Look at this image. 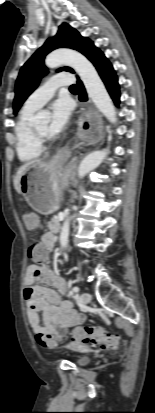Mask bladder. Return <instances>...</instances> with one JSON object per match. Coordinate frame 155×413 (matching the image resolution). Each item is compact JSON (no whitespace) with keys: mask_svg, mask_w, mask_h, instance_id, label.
<instances>
[{"mask_svg":"<svg viewBox=\"0 0 155 413\" xmlns=\"http://www.w3.org/2000/svg\"><path fill=\"white\" fill-rule=\"evenodd\" d=\"M90 361H91V358L89 356H86V355L78 356L77 359H76V363L79 366H85V365L89 364Z\"/></svg>","mask_w":155,"mask_h":413,"instance_id":"obj_1","label":"bladder"}]
</instances>
